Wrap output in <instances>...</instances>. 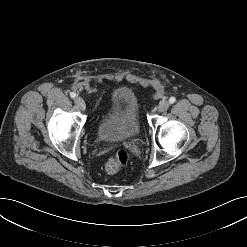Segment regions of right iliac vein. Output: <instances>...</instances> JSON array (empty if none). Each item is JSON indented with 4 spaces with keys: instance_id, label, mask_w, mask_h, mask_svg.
Returning <instances> with one entry per match:
<instances>
[{
    "instance_id": "1",
    "label": "right iliac vein",
    "mask_w": 247,
    "mask_h": 247,
    "mask_svg": "<svg viewBox=\"0 0 247 247\" xmlns=\"http://www.w3.org/2000/svg\"><path fill=\"white\" fill-rule=\"evenodd\" d=\"M75 103L76 105L81 109V110H85L86 105L84 100L81 97H76L75 98Z\"/></svg>"
}]
</instances>
